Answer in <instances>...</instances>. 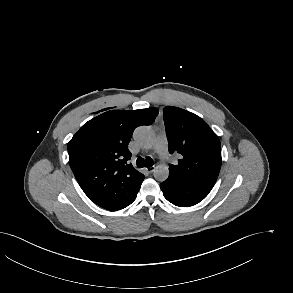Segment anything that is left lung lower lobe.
Masks as SVG:
<instances>
[{
	"mask_svg": "<svg viewBox=\"0 0 293 293\" xmlns=\"http://www.w3.org/2000/svg\"><path fill=\"white\" fill-rule=\"evenodd\" d=\"M160 188L169 202L180 207H188L199 203L212 189L210 186H197L172 178L162 182Z\"/></svg>",
	"mask_w": 293,
	"mask_h": 293,
	"instance_id": "obj_1",
	"label": "left lung lower lobe"
}]
</instances>
